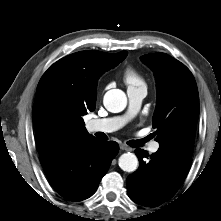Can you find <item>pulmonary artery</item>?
<instances>
[{
  "instance_id": "obj_1",
  "label": "pulmonary artery",
  "mask_w": 221,
  "mask_h": 221,
  "mask_svg": "<svg viewBox=\"0 0 221 221\" xmlns=\"http://www.w3.org/2000/svg\"><path fill=\"white\" fill-rule=\"evenodd\" d=\"M146 95V87H128L127 96L129 106L127 112L122 116L94 119L87 123V129L91 132L110 133L123 127L139 111L143 98ZM159 143L153 142L149 150L155 153L159 150Z\"/></svg>"
}]
</instances>
